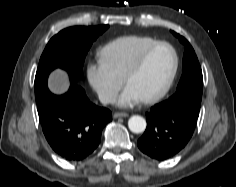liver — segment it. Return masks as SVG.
Here are the masks:
<instances>
[{"label": "liver", "mask_w": 236, "mask_h": 187, "mask_svg": "<svg viewBox=\"0 0 236 187\" xmlns=\"http://www.w3.org/2000/svg\"><path fill=\"white\" fill-rule=\"evenodd\" d=\"M69 83L66 74L62 70L54 71L49 79V88L52 92L61 94L68 89Z\"/></svg>", "instance_id": "6515ba94"}]
</instances>
